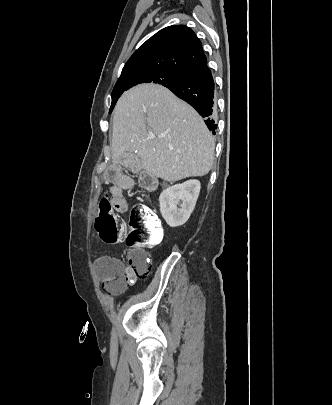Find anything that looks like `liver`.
<instances>
[{
  "label": "liver",
  "instance_id": "liver-1",
  "mask_svg": "<svg viewBox=\"0 0 332 405\" xmlns=\"http://www.w3.org/2000/svg\"><path fill=\"white\" fill-rule=\"evenodd\" d=\"M214 149L213 137L202 117L166 87L153 83L133 87L115 106V164L128 166L137 151L149 175L176 182L206 175L214 162Z\"/></svg>",
  "mask_w": 332,
  "mask_h": 405
}]
</instances>
